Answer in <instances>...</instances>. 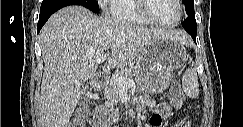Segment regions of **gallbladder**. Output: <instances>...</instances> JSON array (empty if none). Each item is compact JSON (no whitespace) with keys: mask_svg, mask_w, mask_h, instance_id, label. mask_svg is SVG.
<instances>
[{"mask_svg":"<svg viewBox=\"0 0 243 127\" xmlns=\"http://www.w3.org/2000/svg\"><path fill=\"white\" fill-rule=\"evenodd\" d=\"M87 87H88V84H84V86H83V93L86 91Z\"/></svg>","mask_w":243,"mask_h":127,"instance_id":"1","label":"gallbladder"}]
</instances>
